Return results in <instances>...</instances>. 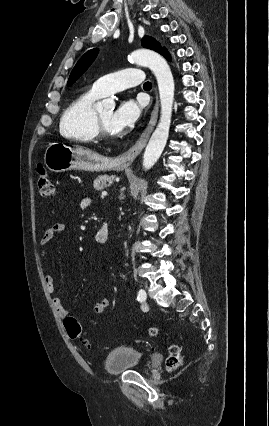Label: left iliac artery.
Returning <instances> with one entry per match:
<instances>
[{"mask_svg":"<svg viewBox=\"0 0 269 426\" xmlns=\"http://www.w3.org/2000/svg\"><path fill=\"white\" fill-rule=\"evenodd\" d=\"M137 300L143 302L146 300V292L144 290H139Z\"/></svg>","mask_w":269,"mask_h":426,"instance_id":"1","label":"left iliac artery"}]
</instances>
